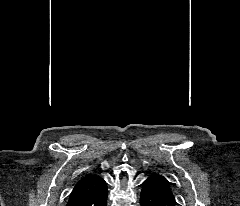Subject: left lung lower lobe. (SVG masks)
Instances as JSON below:
<instances>
[{"mask_svg":"<svg viewBox=\"0 0 240 206\" xmlns=\"http://www.w3.org/2000/svg\"><path fill=\"white\" fill-rule=\"evenodd\" d=\"M140 202L141 206H177L171 182L159 173L143 182Z\"/></svg>","mask_w":240,"mask_h":206,"instance_id":"obj_1","label":"left lung lower lobe"}]
</instances>
